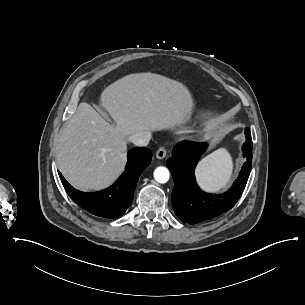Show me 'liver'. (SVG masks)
<instances>
[{"label": "liver", "mask_w": 305, "mask_h": 305, "mask_svg": "<svg viewBox=\"0 0 305 305\" xmlns=\"http://www.w3.org/2000/svg\"><path fill=\"white\" fill-rule=\"evenodd\" d=\"M101 105L115 127L82 102L59 139L58 168L82 191L104 189L116 180L124 171L127 139L133 134L182 127L190 119L193 99L182 83L148 72L106 87Z\"/></svg>", "instance_id": "liver-1"}]
</instances>
